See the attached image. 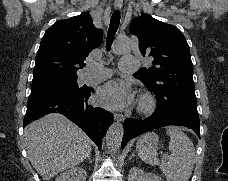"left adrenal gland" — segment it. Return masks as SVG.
Listing matches in <instances>:
<instances>
[{
  "label": "left adrenal gland",
  "mask_w": 228,
  "mask_h": 181,
  "mask_svg": "<svg viewBox=\"0 0 228 181\" xmlns=\"http://www.w3.org/2000/svg\"><path fill=\"white\" fill-rule=\"evenodd\" d=\"M132 157H135L134 153H132L131 157H129V161H131Z\"/></svg>",
  "instance_id": "a2214340"
}]
</instances>
